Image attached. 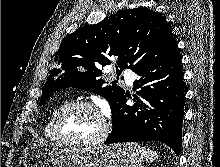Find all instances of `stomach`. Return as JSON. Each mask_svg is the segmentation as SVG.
<instances>
[{"mask_svg": "<svg viewBox=\"0 0 220 167\" xmlns=\"http://www.w3.org/2000/svg\"><path fill=\"white\" fill-rule=\"evenodd\" d=\"M143 161L144 154L136 143L63 149L36 141L27 146L22 157L24 167H142Z\"/></svg>", "mask_w": 220, "mask_h": 167, "instance_id": "0dacf381", "label": "stomach"}]
</instances>
